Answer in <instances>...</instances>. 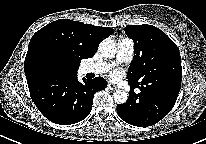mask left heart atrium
I'll use <instances>...</instances> for the list:
<instances>
[{
    "label": "left heart atrium",
    "instance_id": "1",
    "mask_svg": "<svg viewBox=\"0 0 206 144\" xmlns=\"http://www.w3.org/2000/svg\"><path fill=\"white\" fill-rule=\"evenodd\" d=\"M120 75H121V72H120V71H114V72L112 73V77H113V78H118Z\"/></svg>",
    "mask_w": 206,
    "mask_h": 144
}]
</instances>
